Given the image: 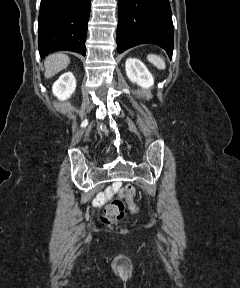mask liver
<instances>
[{
  "instance_id": "1",
  "label": "liver",
  "mask_w": 240,
  "mask_h": 288,
  "mask_svg": "<svg viewBox=\"0 0 240 288\" xmlns=\"http://www.w3.org/2000/svg\"><path fill=\"white\" fill-rule=\"evenodd\" d=\"M70 63V58L62 53H55L49 55L44 62L45 65V77L51 78L61 70L67 68Z\"/></svg>"
}]
</instances>
